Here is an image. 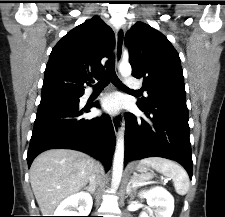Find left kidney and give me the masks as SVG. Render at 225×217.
<instances>
[{"instance_id":"5707ae66","label":"left kidney","mask_w":225,"mask_h":217,"mask_svg":"<svg viewBox=\"0 0 225 217\" xmlns=\"http://www.w3.org/2000/svg\"><path fill=\"white\" fill-rule=\"evenodd\" d=\"M140 196L146 198L152 208L148 213L142 212L140 217H171L174 211L173 196L162 187H155L142 192Z\"/></svg>"}]
</instances>
